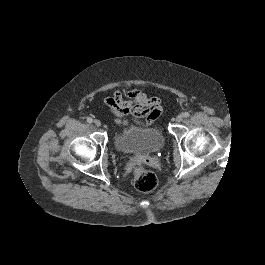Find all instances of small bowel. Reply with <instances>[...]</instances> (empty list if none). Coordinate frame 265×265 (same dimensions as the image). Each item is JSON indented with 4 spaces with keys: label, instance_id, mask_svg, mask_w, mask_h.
Returning <instances> with one entry per match:
<instances>
[{
    "label": "small bowel",
    "instance_id": "small-bowel-1",
    "mask_svg": "<svg viewBox=\"0 0 265 265\" xmlns=\"http://www.w3.org/2000/svg\"><path fill=\"white\" fill-rule=\"evenodd\" d=\"M108 110L119 124L128 123V118L138 124L150 125L160 115V99L148 97L141 88L115 90L104 99Z\"/></svg>",
    "mask_w": 265,
    "mask_h": 265
}]
</instances>
